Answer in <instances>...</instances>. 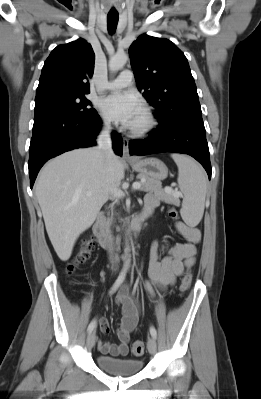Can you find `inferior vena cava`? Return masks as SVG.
Returning a JSON list of instances; mask_svg holds the SVG:
<instances>
[{"instance_id": "602c4592", "label": "inferior vena cava", "mask_w": 261, "mask_h": 399, "mask_svg": "<svg viewBox=\"0 0 261 399\" xmlns=\"http://www.w3.org/2000/svg\"><path fill=\"white\" fill-rule=\"evenodd\" d=\"M98 149L101 154L107 159H111L113 156L112 150V140H111V126L110 123L106 122L104 124L103 129L101 130L98 138H97ZM109 253L111 254L112 262H113V247L109 249Z\"/></svg>"}]
</instances>
